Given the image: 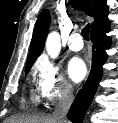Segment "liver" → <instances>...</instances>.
Segmentation results:
<instances>
[{"mask_svg": "<svg viewBox=\"0 0 118 123\" xmlns=\"http://www.w3.org/2000/svg\"><path fill=\"white\" fill-rule=\"evenodd\" d=\"M4 123H60L51 115L29 114L12 116L5 120Z\"/></svg>", "mask_w": 118, "mask_h": 123, "instance_id": "obj_1", "label": "liver"}]
</instances>
